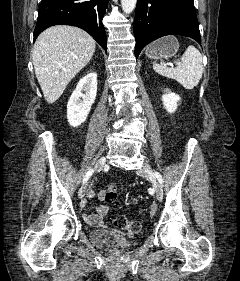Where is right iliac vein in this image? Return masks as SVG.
<instances>
[{
    "label": "right iliac vein",
    "mask_w": 240,
    "mask_h": 281,
    "mask_svg": "<svg viewBox=\"0 0 240 281\" xmlns=\"http://www.w3.org/2000/svg\"><path fill=\"white\" fill-rule=\"evenodd\" d=\"M106 163L105 157H102L97 160L95 164V170L100 171ZM89 189V182H85L83 186L79 189L78 197L79 199L83 198L87 190Z\"/></svg>",
    "instance_id": "right-iliac-vein-1"
}]
</instances>
